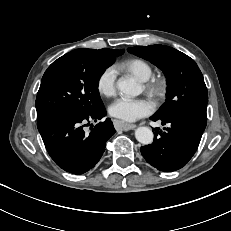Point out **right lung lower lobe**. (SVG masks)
<instances>
[{
  "label": "right lung lower lobe",
  "mask_w": 231,
  "mask_h": 231,
  "mask_svg": "<svg viewBox=\"0 0 231 231\" xmlns=\"http://www.w3.org/2000/svg\"><path fill=\"white\" fill-rule=\"evenodd\" d=\"M106 115L104 106L83 115L61 114L37 122L45 147L54 162L63 170L83 174L94 167L105 151L106 141L116 132L110 119L97 122ZM88 122V123H87Z\"/></svg>",
  "instance_id": "obj_1"
}]
</instances>
